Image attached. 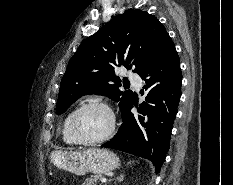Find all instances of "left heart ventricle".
<instances>
[{
	"label": "left heart ventricle",
	"mask_w": 233,
	"mask_h": 185,
	"mask_svg": "<svg viewBox=\"0 0 233 185\" xmlns=\"http://www.w3.org/2000/svg\"><path fill=\"white\" fill-rule=\"evenodd\" d=\"M111 117L103 108H90L81 113L76 122L78 133L86 139H94L107 133Z\"/></svg>",
	"instance_id": "left-heart-ventricle-1"
}]
</instances>
